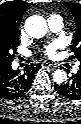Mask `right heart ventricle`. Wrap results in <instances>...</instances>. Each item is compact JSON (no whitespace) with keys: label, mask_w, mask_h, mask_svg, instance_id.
Returning a JSON list of instances; mask_svg holds the SVG:
<instances>
[{"label":"right heart ventricle","mask_w":81,"mask_h":124,"mask_svg":"<svg viewBox=\"0 0 81 124\" xmlns=\"http://www.w3.org/2000/svg\"><path fill=\"white\" fill-rule=\"evenodd\" d=\"M52 16H56V14H52V15H50V17H52Z\"/></svg>","instance_id":"obj_1"}]
</instances>
